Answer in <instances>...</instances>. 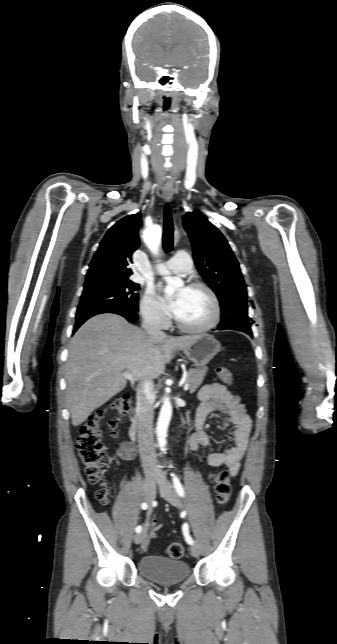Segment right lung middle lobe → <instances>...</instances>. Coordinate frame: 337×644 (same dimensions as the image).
I'll return each mask as SVG.
<instances>
[{"label": "right lung middle lobe", "instance_id": "dd1d6c3e", "mask_svg": "<svg viewBox=\"0 0 337 644\" xmlns=\"http://www.w3.org/2000/svg\"><path fill=\"white\" fill-rule=\"evenodd\" d=\"M139 285L129 279L87 281L77 308L76 318L107 309L138 310Z\"/></svg>", "mask_w": 337, "mask_h": 644}]
</instances>
